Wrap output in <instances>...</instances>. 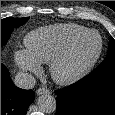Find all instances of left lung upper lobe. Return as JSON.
<instances>
[{"mask_svg": "<svg viewBox=\"0 0 115 115\" xmlns=\"http://www.w3.org/2000/svg\"><path fill=\"white\" fill-rule=\"evenodd\" d=\"M113 69H115V40L111 38L105 60L93 71L98 73Z\"/></svg>", "mask_w": 115, "mask_h": 115, "instance_id": "left-lung-upper-lobe-1", "label": "left lung upper lobe"}]
</instances>
